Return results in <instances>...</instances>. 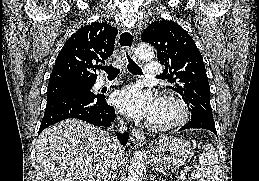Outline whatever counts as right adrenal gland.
<instances>
[{
    "instance_id": "1",
    "label": "right adrenal gland",
    "mask_w": 259,
    "mask_h": 181,
    "mask_svg": "<svg viewBox=\"0 0 259 181\" xmlns=\"http://www.w3.org/2000/svg\"><path fill=\"white\" fill-rule=\"evenodd\" d=\"M107 181H115V175L114 174H110Z\"/></svg>"
}]
</instances>
